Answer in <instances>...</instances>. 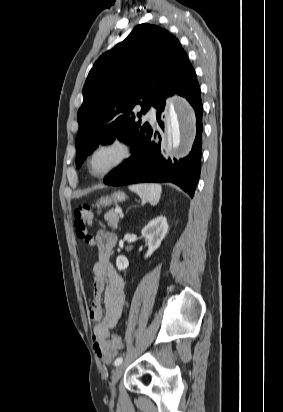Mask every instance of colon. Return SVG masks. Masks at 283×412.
I'll return each mask as SVG.
<instances>
[{"instance_id": "5ec220e1", "label": "colon", "mask_w": 283, "mask_h": 412, "mask_svg": "<svg viewBox=\"0 0 283 412\" xmlns=\"http://www.w3.org/2000/svg\"><path fill=\"white\" fill-rule=\"evenodd\" d=\"M94 221V216L90 205L79 204L74 210V223L76 227V233L79 238L92 243V236L90 234V227ZM122 348V340L119 336L113 335L103 345V351L105 353L120 350Z\"/></svg>"}]
</instances>
